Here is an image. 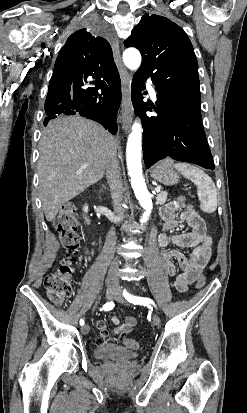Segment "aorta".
<instances>
[{
  "instance_id": "obj_1",
  "label": "aorta",
  "mask_w": 247,
  "mask_h": 413,
  "mask_svg": "<svg viewBox=\"0 0 247 413\" xmlns=\"http://www.w3.org/2000/svg\"><path fill=\"white\" fill-rule=\"evenodd\" d=\"M123 61L125 65L133 71H136L141 65V54L135 48H128L123 53ZM142 127L139 119H136L132 126V131L128 137L126 147V161L128 175L131 180V185L135 196L145 212L141 218V222L149 220L151 210L153 208L151 194L146 187L143 177L141 157H142Z\"/></svg>"
}]
</instances>
